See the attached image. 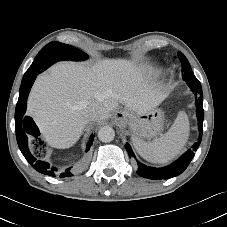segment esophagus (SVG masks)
Wrapping results in <instances>:
<instances>
[{"label": "esophagus", "mask_w": 227, "mask_h": 227, "mask_svg": "<svg viewBox=\"0 0 227 227\" xmlns=\"http://www.w3.org/2000/svg\"><path fill=\"white\" fill-rule=\"evenodd\" d=\"M121 116H123V112H117L116 115H115V118L120 119Z\"/></svg>", "instance_id": "1"}]
</instances>
